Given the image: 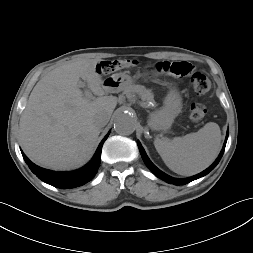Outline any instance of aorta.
<instances>
[{
    "label": "aorta",
    "instance_id": "aorta-1",
    "mask_svg": "<svg viewBox=\"0 0 253 253\" xmlns=\"http://www.w3.org/2000/svg\"><path fill=\"white\" fill-rule=\"evenodd\" d=\"M136 119L129 111H120L114 121V129L118 134L130 135L134 132Z\"/></svg>",
    "mask_w": 253,
    "mask_h": 253
}]
</instances>
